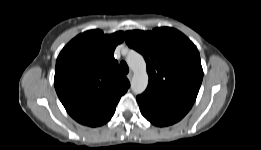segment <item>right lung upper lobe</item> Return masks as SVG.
<instances>
[{
	"instance_id": "right-lung-upper-lobe-1",
	"label": "right lung upper lobe",
	"mask_w": 261,
	"mask_h": 150,
	"mask_svg": "<svg viewBox=\"0 0 261 150\" xmlns=\"http://www.w3.org/2000/svg\"><path fill=\"white\" fill-rule=\"evenodd\" d=\"M124 32L110 35L90 30L72 39L60 52L54 86L63 106L77 122L91 127L113 116L130 83L113 53Z\"/></svg>"
}]
</instances>
